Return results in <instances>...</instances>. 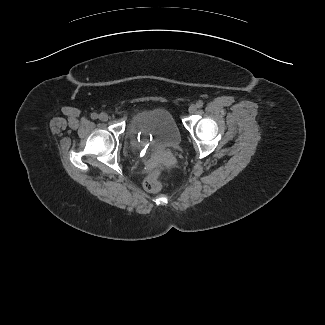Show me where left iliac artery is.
Wrapping results in <instances>:
<instances>
[{"label": "left iliac artery", "mask_w": 325, "mask_h": 325, "mask_svg": "<svg viewBox=\"0 0 325 325\" xmlns=\"http://www.w3.org/2000/svg\"><path fill=\"white\" fill-rule=\"evenodd\" d=\"M196 106H197L198 108L203 107V102H202L201 100H199V101L196 103Z\"/></svg>", "instance_id": "left-iliac-artery-1"}]
</instances>
